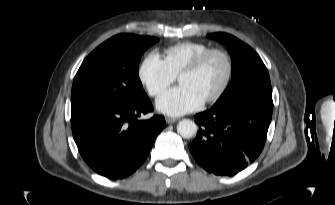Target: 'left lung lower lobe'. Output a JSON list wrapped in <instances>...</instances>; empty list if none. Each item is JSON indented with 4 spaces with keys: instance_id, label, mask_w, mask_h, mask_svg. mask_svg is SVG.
Masks as SVG:
<instances>
[{
    "instance_id": "0a47b994",
    "label": "left lung lower lobe",
    "mask_w": 335,
    "mask_h": 205,
    "mask_svg": "<svg viewBox=\"0 0 335 205\" xmlns=\"http://www.w3.org/2000/svg\"><path fill=\"white\" fill-rule=\"evenodd\" d=\"M273 107L251 100L235 101L195 116L200 125L189 149L208 172L232 176L261 153Z\"/></svg>"
}]
</instances>
